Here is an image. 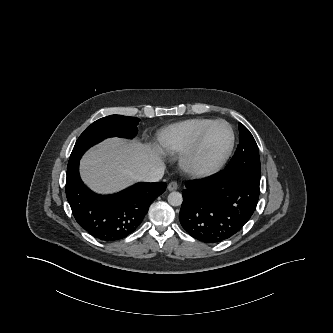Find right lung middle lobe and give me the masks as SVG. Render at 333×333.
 <instances>
[{
	"label": "right lung middle lobe",
	"instance_id": "1",
	"mask_svg": "<svg viewBox=\"0 0 333 333\" xmlns=\"http://www.w3.org/2000/svg\"><path fill=\"white\" fill-rule=\"evenodd\" d=\"M140 119L122 115H110L101 118L79 136L70 155L67 168L79 162L82 155L91 146L108 137L133 138L137 134V124Z\"/></svg>",
	"mask_w": 333,
	"mask_h": 333
}]
</instances>
